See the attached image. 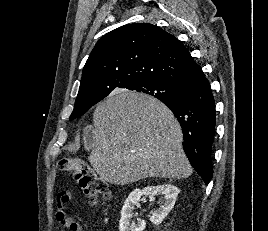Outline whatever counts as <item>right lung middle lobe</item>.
Instances as JSON below:
<instances>
[{
    "label": "right lung middle lobe",
    "instance_id": "obj_1",
    "mask_svg": "<svg viewBox=\"0 0 268 231\" xmlns=\"http://www.w3.org/2000/svg\"><path fill=\"white\" fill-rule=\"evenodd\" d=\"M129 90H135L137 92H142L145 94L152 95L159 100L161 99H170L175 97L178 94V89L168 86L164 83L160 82H146V83H141L139 85L134 86L133 88ZM96 103L92 104H75L74 110L70 116V120H73L75 118L80 117L84 113H86L93 105Z\"/></svg>",
    "mask_w": 268,
    "mask_h": 231
}]
</instances>
